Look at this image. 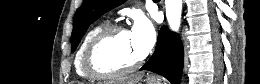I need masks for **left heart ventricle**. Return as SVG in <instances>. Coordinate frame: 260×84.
Instances as JSON below:
<instances>
[{
  "label": "left heart ventricle",
  "instance_id": "obj_1",
  "mask_svg": "<svg viewBox=\"0 0 260 84\" xmlns=\"http://www.w3.org/2000/svg\"><path fill=\"white\" fill-rule=\"evenodd\" d=\"M140 58L132 41L130 32H121L102 46L98 63L105 68H124Z\"/></svg>",
  "mask_w": 260,
  "mask_h": 84
}]
</instances>
